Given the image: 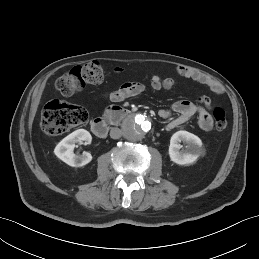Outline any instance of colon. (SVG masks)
<instances>
[{"mask_svg":"<svg viewBox=\"0 0 259 259\" xmlns=\"http://www.w3.org/2000/svg\"><path fill=\"white\" fill-rule=\"evenodd\" d=\"M104 78L103 65L93 61L76 66L61 75L56 81V89L63 96H70L86 85L102 82ZM212 115L216 129L224 131L227 127L225 111L220 107H215ZM88 119L87 109L60 100H52L45 105L42 112V129L51 136L61 135L75 126L86 123Z\"/></svg>","mask_w":259,"mask_h":259,"instance_id":"1","label":"colon"}]
</instances>
